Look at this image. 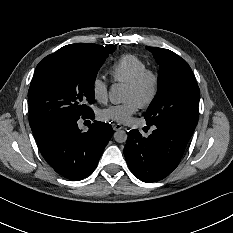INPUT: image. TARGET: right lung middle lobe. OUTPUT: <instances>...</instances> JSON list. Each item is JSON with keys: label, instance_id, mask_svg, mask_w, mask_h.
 <instances>
[{"label": "right lung middle lobe", "instance_id": "1", "mask_svg": "<svg viewBox=\"0 0 233 233\" xmlns=\"http://www.w3.org/2000/svg\"><path fill=\"white\" fill-rule=\"evenodd\" d=\"M104 60L70 49L45 57L37 65L28 91L30 126L90 113L87 104L94 102L93 85Z\"/></svg>", "mask_w": 233, "mask_h": 233}]
</instances>
